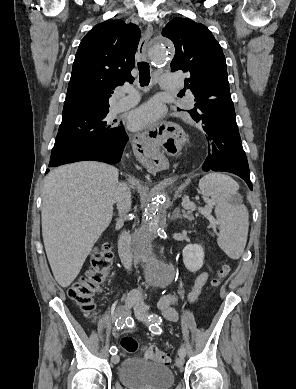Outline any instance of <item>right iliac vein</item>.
I'll return each instance as SVG.
<instances>
[{"label": "right iliac vein", "instance_id": "63e3f726", "mask_svg": "<svg viewBox=\"0 0 296 389\" xmlns=\"http://www.w3.org/2000/svg\"><path fill=\"white\" fill-rule=\"evenodd\" d=\"M124 301H125V314H127L129 309L136 303L137 298L133 294L128 293L126 295ZM119 360H120V357L118 355H114L111 358V361L114 364H117L119 362Z\"/></svg>", "mask_w": 296, "mask_h": 389}]
</instances>
